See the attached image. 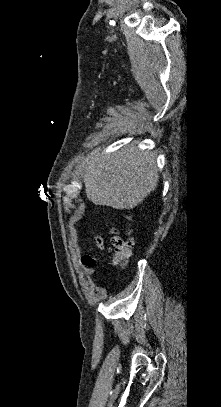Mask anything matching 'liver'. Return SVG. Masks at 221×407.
<instances>
[{"instance_id":"liver-1","label":"liver","mask_w":221,"mask_h":407,"mask_svg":"<svg viewBox=\"0 0 221 407\" xmlns=\"http://www.w3.org/2000/svg\"><path fill=\"white\" fill-rule=\"evenodd\" d=\"M159 180L156 155L131 144L109 154H92L83 165L88 199L95 205L133 209Z\"/></svg>"}]
</instances>
